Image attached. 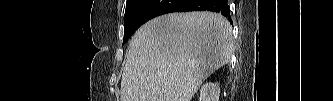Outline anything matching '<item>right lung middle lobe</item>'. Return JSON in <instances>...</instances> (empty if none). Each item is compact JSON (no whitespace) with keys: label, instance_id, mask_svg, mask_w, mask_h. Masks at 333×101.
I'll list each match as a JSON object with an SVG mask.
<instances>
[{"label":"right lung middle lobe","instance_id":"dd1d6c3e","mask_svg":"<svg viewBox=\"0 0 333 101\" xmlns=\"http://www.w3.org/2000/svg\"><path fill=\"white\" fill-rule=\"evenodd\" d=\"M146 0H127L126 2V10L124 15V40L123 44L131 37V35L135 32V28L133 27V23L135 17Z\"/></svg>","mask_w":333,"mask_h":101}]
</instances>
